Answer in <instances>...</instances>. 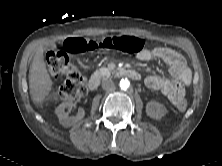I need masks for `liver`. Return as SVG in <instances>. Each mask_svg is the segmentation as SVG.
I'll use <instances>...</instances> for the list:
<instances>
[{"instance_id":"6515ba94","label":"liver","mask_w":222,"mask_h":166,"mask_svg":"<svg viewBox=\"0 0 222 166\" xmlns=\"http://www.w3.org/2000/svg\"><path fill=\"white\" fill-rule=\"evenodd\" d=\"M44 49L40 46L33 58L29 71L30 95L35 105L43 103L52 89V80L46 68Z\"/></svg>"}]
</instances>
